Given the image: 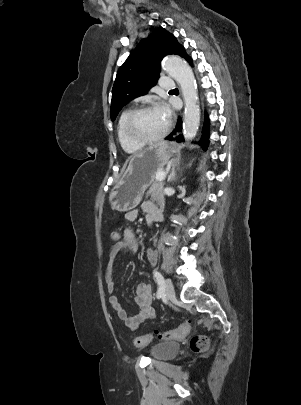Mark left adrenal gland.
<instances>
[{"instance_id":"left-adrenal-gland-1","label":"left adrenal gland","mask_w":301,"mask_h":405,"mask_svg":"<svg viewBox=\"0 0 301 405\" xmlns=\"http://www.w3.org/2000/svg\"><path fill=\"white\" fill-rule=\"evenodd\" d=\"M175 179H176L175 164H173L168 180L170 182H173Z\"/></svg>"}]
</instances>
